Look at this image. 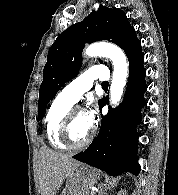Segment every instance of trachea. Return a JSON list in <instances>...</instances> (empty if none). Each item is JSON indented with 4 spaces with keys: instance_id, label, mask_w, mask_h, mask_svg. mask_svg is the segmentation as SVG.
<instances>
[{
    "instance_id": "3493384b",
    "label": "trachea",
    "mask_w": 178,
    "mask_h": 195,
    "mask_svg": "<svg viewBox=\"0 0 178 195\" xmlns=\"http://www.w3.org/2000/svg\"><path fill=\"white\" fill-rule=\"evenodd\" d=\"M108 85H109V83L108 82H104V83H102V87H108Z\"/></svg>"
}]
</instances>
